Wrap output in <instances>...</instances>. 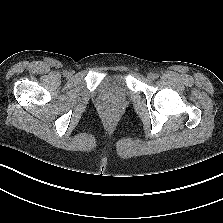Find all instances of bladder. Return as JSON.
I'll list each match as a JSON object with an SVG mask.
<instances>
[{"instance_id":"31cf9c89","label":"bladder","mask_w":223,"mask_h":223,"mask_svg":"<svg viewBox=\"0 0 223 223\" xmlns=\"http://www.w3.org/2000/svg\"><path fill=\"white\" fill-rule=\"evenodd\" d=\"M99 92L101 95L111 98H126L130 93L125 78L121 75L105 78L99 86Z\"/></svg>"}]
</instances>
